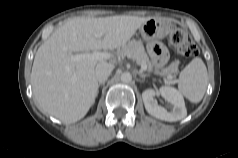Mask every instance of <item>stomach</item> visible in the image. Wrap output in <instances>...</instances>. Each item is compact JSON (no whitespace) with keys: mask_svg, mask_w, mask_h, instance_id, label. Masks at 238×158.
Returning <instances> with one entry per match:
<instances>
[{"mask_svg":"<svg viewBox=\"0 0 238 158\" xmlns=\"http://www.w3.org/2000/svg\"><path fill=\"white\" fill-rule=\"evenodd\" d=\"M139 33L146 41L162 39L168 34V25L161 20L150 18L141 25Z\"/></svg>","mask_w":238,"mask_h":158,"instance_id":"1","label":"stomach"}]
</instances>
